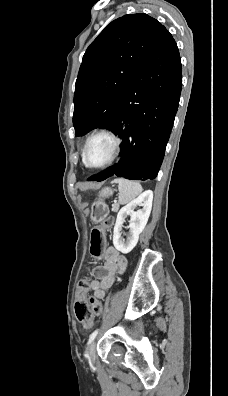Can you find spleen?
Instances as JSON below:
<instances>
[{"mask_svg": "<svg viewBox=\"0 0 228 396\" xmlns=\"http://www.w3.org/2000/svg\"><path fill=\"white\" fill-rule=\"evenodd\" d=\"M113 183L118 184L119 203L124 205L132 201L142 192V187L138 182L127 180L124 178H116Z\"/></svg>", "mask_w": 228, "mask_h": 396, "instance_id": "spleen-1", "label": "spleen"}]
</instances>
